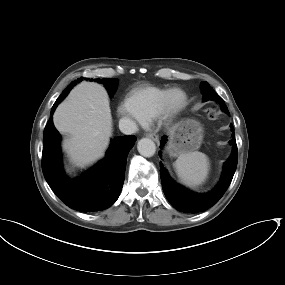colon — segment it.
<instances>
[{
    "mask_svg": "<svg viewBox=\"0 0 285 285\" xmlns=\"http://www.w3.org/2000/svg\"><path fill=\"white\" fill-rule=\"evenodd\" d=\"M207 114H208V116H209L210 118H212V119H215L216 116H217L213 108H209V109L207 110Z\"/></svg>",
    "mask_w": 285,
    "mask_h": 285,
    "instance_id": "colon-1",
    "label": "colon"
}]
</instances>
